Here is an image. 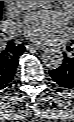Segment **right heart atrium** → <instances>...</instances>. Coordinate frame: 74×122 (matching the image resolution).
Segmentation results:
<instances>
[{"label":"right heart atrium","mask_w":74,"mask_h":122,"mask_svg":"<svg viewBox=\"0 0 74 122\" xmlns=\"http://www.w3.org/2000/svg\"><path fill=\"white\" fill-rule=\"evenodd\" d=\"M8 10H10L11 8L15 7L17 5V1H4Z\"/></svg>","instance_id":"obj_1"}]
</instances>
